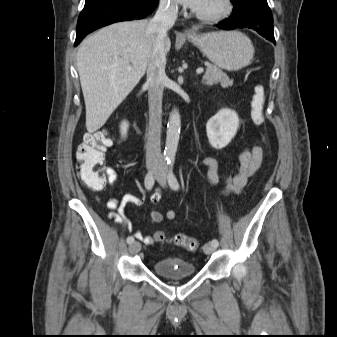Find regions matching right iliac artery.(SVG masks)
I'll return each mask as SVG.
<instances>
[{"label":"right iliac artery","mask_w":337,"mask_h":337,"mask_svg":"<svg viewBox=\"0 0 337 337\" xmlns=\"http://www.w3.org/2000/svg\"><path fill=\"white\" fill-rule=\"evenodd\" d=\"M154 181H155V178H154L153 172L147 173V175L145 177V181H144L146 189L151 190L153 185H154ZM133 242H134V237L128 236L127 237V243L131 244Z\"/></svg>","instance_id":"obj_1"}]
</instances>
